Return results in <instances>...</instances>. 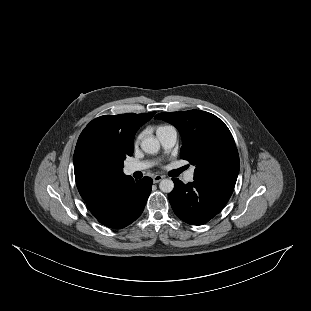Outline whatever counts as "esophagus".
<instances>
[{"label": "esophagus", "mask_w": 311, "mask_h": 311, "mask_svg": "<svg viewBox=\"0 0 311 311\" xmlns=\"http://www.w3.org/2000/svg\"><path fill=\"white\" fill-rule=\"evenodd\" d=\"M163 178H164V176H162V175H155L153 177V182L154 183H159Z\"/></svg>", "instance_id": "esophagus-1"}]
</instances>
